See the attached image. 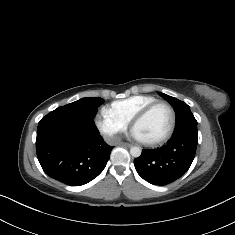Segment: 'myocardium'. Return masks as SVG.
Instances as JSON below:
<instances>
[{
    "instance_id": "f54148a6",
    "label": "myocardium",
    "mask_w": 235,
    "mask_h": 235,
    "mask_svg": "<svg viewBox=\"0 0 235 235\" xmlns=\"http://www.w3.org/2000/svg\"><path fill=\"white\" fill-rule=\"evenodd\" d=\"M161 106L166 107L169 110V112H170L171 123H170L169 130H168V132L163 137L158 138V139L153 140V141L145 142V141L138 140V142L141 145L145 146V147H155V146H158L160 144L165 143L166 141H168L172 137V135L174 133V130H175V127H176V112H175V109L168 102L160 101L159 100V101H156V102L151 103L150 105L146 106L139 113H137L133 117V119L131 121L130 128L133 131L134 126L138 122L144 120L153 110H155L156 108L161 107Z\"/></svg>"
}]
</instances>
